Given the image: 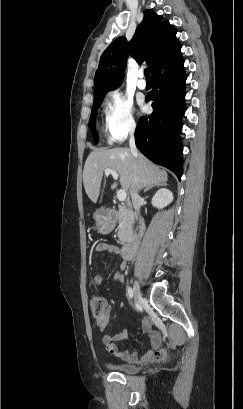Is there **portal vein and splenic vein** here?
<instances>
[{"mask_svg": "<svg viewBox=\"0 0 243 409\" xmlns=\"http://www.w3.org/2000/svg\"><path fill=\"white\" fill-rule=\"evenodd\" d=\"M104 173L106 176L108 175H112V177L114 178V180L118 179V173L115 170L112 169H105ZM127 194L126 191L121 189L117 192V198L120 202H124L126 200Z\"/></svg>", "mask_w": 243, "mask_h": 409, "instance_id": "obj_1", "label": "portal vein and splenic vein"}]
</instances>
